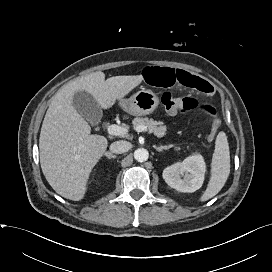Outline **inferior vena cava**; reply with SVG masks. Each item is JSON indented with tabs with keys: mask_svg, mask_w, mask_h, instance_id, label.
I'll return each instance as SVG.
<instances>
[{
	"mask_svg": "<svg viewBox=\"0 0 272 272\" xmlns=\"http://www.w3.org/2000/svg\"><path fill=\"white\" fill-rule=\"evenodd\" d=\"M132 147L131 143L128 141L120 140L115 141L110 145V151L116 154H122L127 152Z\"/></svg>",
	"mask_w": 272,
	"mask_h": 272,
	"instance_id": "1",
	"label": "inferior vena cava"
}]
</instances>
